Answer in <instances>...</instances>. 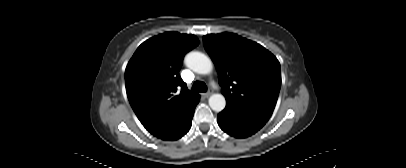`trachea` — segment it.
<instances>
[{"instance_id": "trachea-1", "label": "trachea", "mask_w": 406, "mask_h": 168, "mask_svg": "<svg viewBox=\"0 0 406 168\" xmlns=\"http://www.w3.org/2000/svg\"><path fill=\"white\" fill-rule=\"evenodd\" d=\"M192 90L195 92H206L207 86L204 82L195 81L192 86Z\"/></svg>"}]
</instances>
